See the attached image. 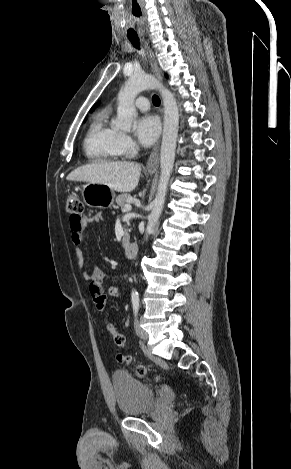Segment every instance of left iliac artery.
<instances>
[{"instance_id":"left-iliac-artery-1","label":"left iliac artery","mask_w":291,"mask_h":469,"mask_svg":"<svg viewBox=\"0 0 291 469\" xmlns=\"http://www.w3.org/2000/svg\"><path fill=\"white\" fill-rule=\"evenodd\" d=\"M139 301H140V299H139L138 293H133L132 294V306H133V311H134L135 316H137V314H138Z\"/></svg>"}]
</instances>
